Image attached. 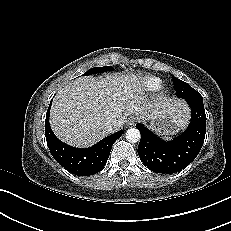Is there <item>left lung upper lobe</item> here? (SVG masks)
<instances>
[{
	"instance_id": "obj_1",
	"label": "left lung upper lobe",
	"mask_w": 231,
	"mask_h": 231,
	"mask_svg": "<svg viewBox=\"0 0 231 231\" xmlns=\"http://www.w3.org/2000/svg\"><path fill=\"white\" fill-rule=\"evenodd\" d=\"M172 80L174 82V87L176 90V95L179 98L188 99V98H203L199 92H197L195 89H193L189 84L186 82L176 78L172 77Z\"/></svg>"
}]
</instances>
